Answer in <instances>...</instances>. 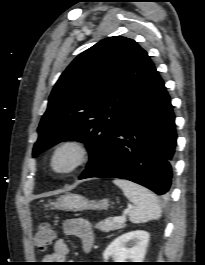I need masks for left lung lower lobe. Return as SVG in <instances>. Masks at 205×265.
Segmentation results:
<instances>
[{"label": "left lung lower lobe", "mask_w": 205, "mask_h": 265, "mask_svg": "<svg viewBox=\"0 0 205 265\" xmlns=\"http://www.w3.org/2000/svg\"><path fill=\"white\" fill-rule=\"evenodd\" d=\"M175 117L162 78L154 68L144 89L124 112L105 147L79 179L122 178L158 195L172 182Z\"/></svg>", "instance_id": "0a47b994"}]
</instances>
